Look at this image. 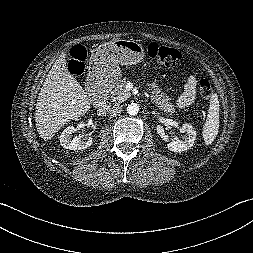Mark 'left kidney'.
I'll list each match as a JSON object with an SVG mask.
<instances>
[{
	"instance_id": "1",
	"label": "left kidney",
	"mask_w": 253,
	"mask_h": 253,
	"mask_svg": "<svg viewBox=\"0 0 253 253\" xmlns=\"http://www.w3.org/2000/svg\"><path fill=\"white\" fill-rule=\"evenodd\" d=\"M180 131L182 133H185L186 137L184 140H180L179 138H177L176 140H173L168 143L167 147L172 152L180 153L186 151L187 149L192 147L194 141L196 140V131L193 129L192 125L184 123Z\"/></svg>"
}]
</instances>
